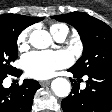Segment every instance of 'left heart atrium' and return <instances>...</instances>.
Returning a JSON list of instances; mask_svg holds the SVG:
<instances>
[{
	"mask_svg": "<svg viewBox=\"0 0 112 112\" xmlns=\"http://www.w3.org/2000/svg\"><path fill=\"white\" fill-rule=\"evenodd\" d=\"M72 62L65 50L33 51L22 57L21 64L26 75L35 79H46Z\"/></svg>",
	"mask_w": 112,
	"mask_h": 112,
	"instance_id": "left-heart-atrium-1",
	"label": "left heart atrium"
}]
</instances>
